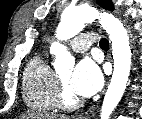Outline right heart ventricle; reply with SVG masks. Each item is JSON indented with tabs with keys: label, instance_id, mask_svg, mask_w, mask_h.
<instances>
[{
	"label": "right heart ventricle",
	"instance_id": "obj_1",
	"mask_svg": "<svg viewBox=\"0 0 142 119\" xmlns=\"http://www.w3.org/2000/svg\"><path fill=\"white\" fill-rule=\"evenodd\" d=\"M57 75L47 60L33 57L23 73V99L25 103L39 110H53L57 107Z\"/></svg>",
	"mask_w": 142,
	"mask_h": 119
}]
</instances>
